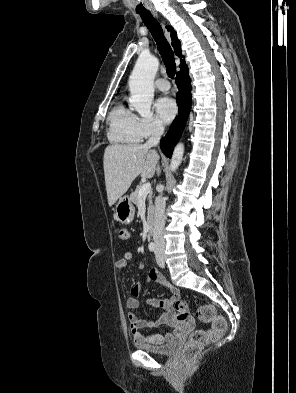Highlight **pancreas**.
Returning <instances> with one entry per match:
<instances>
[{
  "label": "pancreas",
  "instance_id": "cf45deb5",
  "mask_svg": "<svg viewBox=\"0 0 296 393\" xmlns=\"http://www.w3.org/2000/svg\"><path fill=\"white\" fill-rule=\"evenodd\" d=\"M141 188H142V185H138L136 187L135 191H133L131 193V201L135 205L139 204L140 199H139L138 194H139V191L141 190ZM147 200H148L147 218H148V221L150 222L152 220V217H153V204H152V193L151 192L148 194Z\"/></svg>",
  "mask_w": 296,
  "mask_h": 393
}]
</instances>
